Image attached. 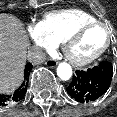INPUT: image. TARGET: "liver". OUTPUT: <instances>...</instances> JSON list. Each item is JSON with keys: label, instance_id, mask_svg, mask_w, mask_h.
Instances as JSON below:
<instances>
[{"label": "liver", "instance_id": "liver-1", "mask_svg": "<svg viewBox=\"0 0 117 117\" xmlns=\"http://www.w3.org/2000/svg\"><path fill=\"white\" fill-rule=\"evenodd\" d=\"M28 46L23 23L0 14V94L14 91L21 83Z\"/></svg>", "mask_w": 117, "mask_h": 117}]
</instances>
